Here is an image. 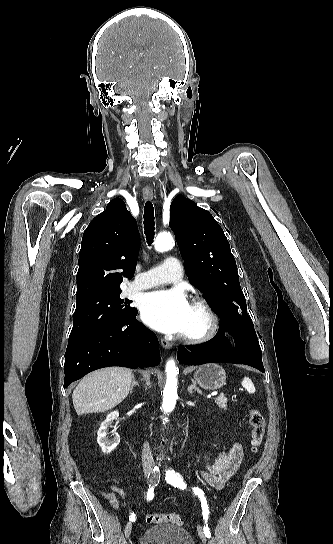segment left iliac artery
<instances>
[{
    "label": "left iliac artery",
    "mask_w": 333,
    "mask_h": 544,
    "mask_svg": "<svg viewBox=\"0 0 333 544\" xmlns=\"http://www.w3.org/2000/svg\"><path fill=\"white\" fill-rule=\"evenodd\" d=\"M165 480L167 481V483H169L170 485H172V486H174L176 488L186 489V484L183 481L182 476L179 473L175 472L173 469H167L166 470ZM193 492L195 493V495H197L199 497V499L201 501L202 516H203V520L205 521V525H204L203 530H204L205 536L210 538L211 537V532H210L208 524H207V520H208V517H209V510H208V504H207L205 494L198 487H194Z\"/></svg>",
    "instance_id": "44dca946"
}]
</instances>
